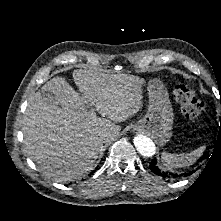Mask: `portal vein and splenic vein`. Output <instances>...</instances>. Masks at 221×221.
Masks as SVG:
<instances>
[{"label": "portal vein and splenic vein", "mask_w": 221, "mask_h": 221, "mask_svg": "<svg viewBox=\"0 0 221 221\" xmlns=\"http://www.w3.org/2000/svg\"><path fill=\"white\" fill-rule=\"evenodd\" d=\"M90 112H91L92 114H94V113H95V109L92 108V109L90 110Z\"/></svg>", "instance_id": "18ae733b"}]
</instances>
